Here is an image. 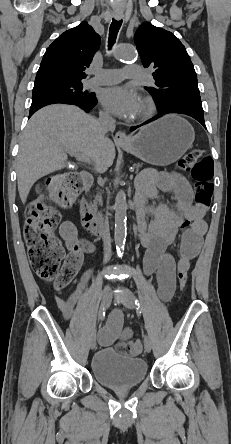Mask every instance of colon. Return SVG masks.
Listing matches in <instances>:
<instances>
[{
  "label": "colon",
  "instance_id": "5ec220e1",
  "mask_svg": "<svg viewBox=\"0 0 231 444\" xmlns=\"http://www.w3.org/2000/svg\"><path fill=\"white\" fill-rule=\"evenodd\" d=\"M178 167L191 174L194 180L195 200L207 206L212 198V160L202 149H191L179 161ZM83 189L79 175L61 173L49 176L40 188L39 198L33 202L24 225V239L32 269L45 282L53 283L55 289L65 288L78 272L83 254L69 251L68 254L55 235L60 222L56 207L70 206ZM184 223L182 228H187ZM179 286L183 289L187 282V271H178ZM133 353L141 350L140 341L128 345Z\"/></svg>",
  "mask_w": 231,
  "mask_h": 444
}]
</instances>
